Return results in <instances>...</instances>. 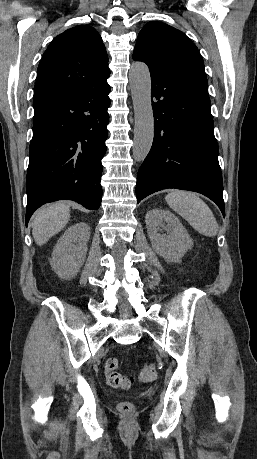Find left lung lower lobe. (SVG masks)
<instances>
[{
    "label": "left lung lower lobe",
    "mask_w": 257,
    "mask_h": 459,
    "mask_svg": "<svg viewBox=\"0 0 257 459\" xmlns=\"http://www.w3.org/2000/svg\"><path fill=\"white\" fill-rule=\"evenodd\" d=\"M151 80L154 140L137 174V202L162 189L190 190L213 200L225 216L207 78L151 73Z\"/></svg>",
    "instance_id": "1"
}]
</instances>
